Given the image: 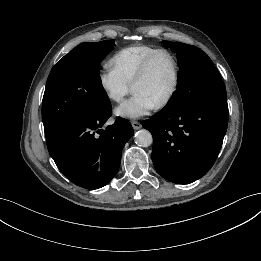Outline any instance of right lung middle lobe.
<instances>
[{"mask_svg":"<svg viewBox=\"0 0 261 261\" xmlns=\"http://www.w3.org/2000/svg\"><path fill=\"white\" fill-rule=\"evenodd\" d=\"M113 46L109 40L82 43L52 68L42 101L46 137L68 124L99 116L110 107L101 89L99 64Z\"/></svg>","mask_w":261,"mask_h":261,"instance_id":"right-lung-middle-lobe-1","label":"right lung middle lobe"}]
</instances>
